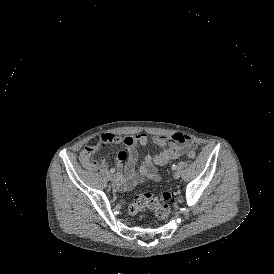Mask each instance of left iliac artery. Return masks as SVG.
Masks as SVG:
<instances>
[{
    "label": "left iliac artery",
    "mask_w": 274,
    "mask_h": 274,
    "mask_svg": "<svg viewBox=\"0 0 274 274\" xmlns=\"http://www.w3.org/2000/svg\"><path fill=\"white\" fill-rule=\"evenodd\" d=\"M177 166L175 164L172 165V170H176Z\"/></svg>",
    "instance_id": "obj_1"
}]
</instances>
